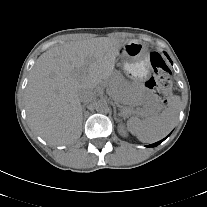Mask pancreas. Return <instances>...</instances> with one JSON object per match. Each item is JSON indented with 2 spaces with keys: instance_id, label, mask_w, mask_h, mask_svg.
<instances>
[{
  "instance_id": "pancreas-1",
  "label": "pancreas",
  "mask_w": 207,
  "mask_h": 207,
  "mask_svg": "<svg viewBox=\"0 0 207 207\" xmlns=\"http://www.w3.org/2000/svg\"><path fill=\"white\" fill-rule=\"evenodd\" d=\"M109 89L111 90V94L119 101L121 98V92L119 89L118 84L116 83H109L108 84ZM148 102L145 105V107L140 111V113H150L152 111V106H148Z\"/></svg>"
}]
</instances>
